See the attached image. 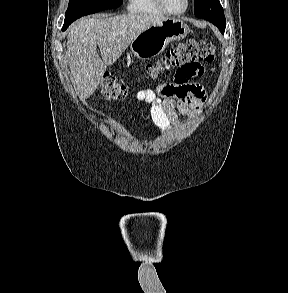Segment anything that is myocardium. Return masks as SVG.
<instances>
[{"label": "myocardium", "instance_id": "1", "mask_svg": "<svg viewBox=\"0 0 288 293\" xmlns=\"http://www.w3.org/2000/svg\"><path fill=\"white\" fill-rule=\"evenodd\" d=\"M155 2H156V4L159 6V8H160L163 12H165V13H167V14H169V15L179 16V15L184 14V13L187 11V9H188V7H189V2H190V0H185V6H184V8H183L182 10H180V11H172V10H170V9L166 6V4L164 3L163 0H155Z\"/></svg>", "mask_w": 288, "mask_h": 293}]
</instances>
